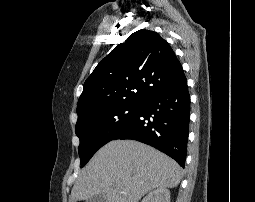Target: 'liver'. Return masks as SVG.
Returning <instances> with one entry per match:
<instances>
[{
  "instance_id": "obj_1",
  "label": "liver",
  "mask_w": 255,
  "mask_h": 202,
  "mask_svg": "<svg viewBox=\"0 0 255 202\" xmlns=\"http://www.w3.org/2000/svg\"><path fill=\"white\" fill-rule=\"evenodd\" d=\"M180 166L160 151L134 140H115L92 157L71 191V202L104 195L107 202H138L156 188H174Z\"/></svg>"
}]
</instances>
